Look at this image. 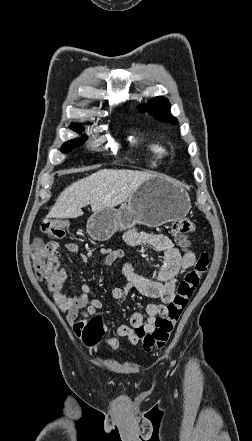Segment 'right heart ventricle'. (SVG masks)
Here are the masks:
<instances>
[{"label": "right heart ventricle", "instance_id": "1", "mask_svg": "<svg viewBox=\"0 0 252 441\" xmlns=\"http://www.w3.org/2000/svg\"><path fill=\"white\" fill-rule=\"evenodd\" d=\"M141 148L149 156V164L153 168L159 166L167 156L166 147L158 141L144 140Z\"/></svg>", "mask_w": 252, "mask_h": 441}]
</instances>
